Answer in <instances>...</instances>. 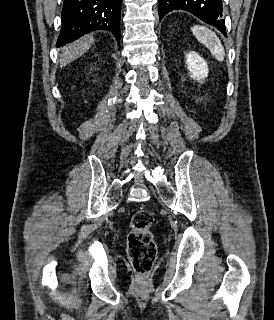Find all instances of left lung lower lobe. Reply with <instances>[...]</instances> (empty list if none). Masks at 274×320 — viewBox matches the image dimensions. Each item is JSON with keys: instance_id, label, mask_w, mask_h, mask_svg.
Here are the masks:
<instances>
[{"instance_id": "1", "label": "left lung lower lobe", "mask_w": 274, "mask_h": 320, "mask_svg": "<svg viewBox=\"0 0 274 320\" xmlns=\"http://www.w3.org/2000/svg\"><path fill=\"white\" fill-rule=\"evenodd\" d=\"M159 20L173 10H186L226 36L222 0H158Z\"/></svg>"}]
</instances>
